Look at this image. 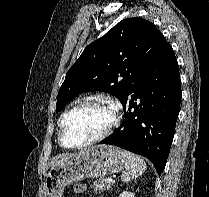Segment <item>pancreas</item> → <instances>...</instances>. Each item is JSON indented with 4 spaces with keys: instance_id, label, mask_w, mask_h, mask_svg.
Returning a JSON list of instances; mask_svg holds the SVG:
<instances>
[{
    "instance_id": "obj_1",
    "label": "pancreas",
    "mask_w": 209,
    "mask_h": 197,
    "mask_svg": "<svg viewBox=\"0 0 209 197\" xmlns=\"http://www.w3.org/2000/svg\"><path fill=\"white\" fill-rule=\"evenodd\" d=\"M92 187L94 188V192H98V193H101V192H103V191H105V190H109L110 188H111V183H108L107 181H106V179H104V178H101V179H99V180H96L94 183H93V185H92Z\"/></svg>"
}]
</instances>
